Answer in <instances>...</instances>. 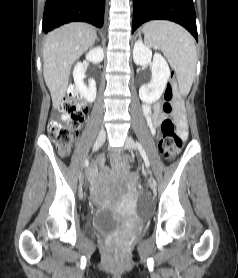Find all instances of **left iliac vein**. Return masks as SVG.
<instances>
[{"label":"left iliac vein","instance_id":"obj_1","mask_svg":"<svg viewBox=\"0 0 238 278\" xmlns=\"http://www.w3.org/2000/svg\"><path fill=\"white\" fill-rule=\"evenodd\" d=\"M125 145L129 150H133V149L136 148L134 140L129 136H127L126 139H125ZM155 185H156V181H155V179H152L151 182H150V187L153 190H156Z\"/></svg>","mask_w":238,"mask_h":278}]
</instances>
